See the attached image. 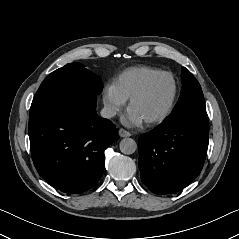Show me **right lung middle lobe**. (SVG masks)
Returning <instances> with one entry per match:
<instances>
[{
    "mask_svg": "<svg viewBox=\"0 0 239 239\" xmlns=\"http://www.w3.org/2000/svg\"><path fill=\"white\" fill-rule=\"evenodd\" d=\"M76 89L100 94L103 90L101 78L84 68L81 63L67 64L44 79L33 98L31 108L55 94Z\"/></svg>",
    "mask_w": 239,
    "mask_h": 239,
    "instance_id": "dd1d6c3e",
    "label": "right lung middle lobe"
}]
</instances>
